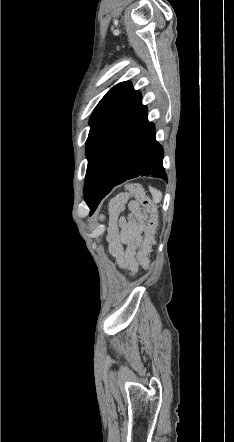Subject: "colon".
I'll list each match as a JSON object with an SVG mask.
<instances>
[{"instance_id": "5ec220e1", "label": "colon", "mask_w": 234, "mask_h": 442, "mask_svg": "<svg viewBox=\"0 0 234 442\" xmlns=\"http://www.w3.org/2000/svg\"><path fill=\"white\" fill-rule=\"evenodd\" d=\"M126 193L121 194V196H127L130 194L134 196L140 205L143 207L145 212L148 215L143 239V245L138 254L137 259L140 261L139 266L142 269L146 268V271H149L150 266V255L146 254L149 250V247L153 241L154 230L158 225V211L156 204L146 195L143 187L138 183H129L125 186Z\"/></svg>"}]
</instances>
